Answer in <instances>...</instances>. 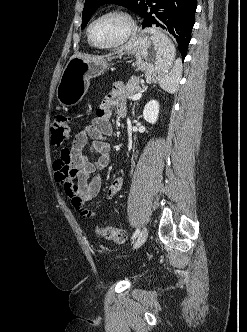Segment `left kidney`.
Returning <instances> with one entry per match:
<instances>
[{
	"label": "left kidney",
	"instance_id": "obj_1",
	"mask_svg": "<svg viewBox=\"0 0 247 332\" xmlns=\"http://www.w3.org/2000/svg\"><path fill=\"white\" fill-rule=\"evenodd\" d=\"M159 115V103L156 100L149 101L143 110V117L144 119L151 123L155 124L157 122Z\"/></svg>",
	"mask_w": 247,
	"mask_h": 332
}]
</instances>
